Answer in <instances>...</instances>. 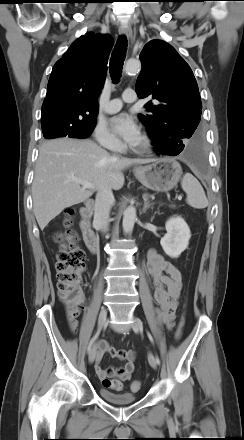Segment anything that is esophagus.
Here are the masks:
<instances>
[{
	"label": "esophagus",
	"mask_w": 244,
	"mask_h": 440,
	"mask_svg": "<svg viewBox=\"0 0 244 440\" xmlns=\"http://www.w3.org/2000/svg\"><path fill=\"white\" fill-rule=\"evenodd\" d=\"M119 33L125 35L130 43L132 42V29L129 25H121Z\"/></svg>",
	"instance_id": "34e87169"
}]
</instances>
